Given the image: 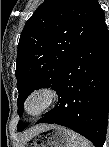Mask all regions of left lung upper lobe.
Masks as SVG:
<instances>
[{"label":"left lung upper lobe","mask_w":109,"mask_h":147,"mask_svg":"<svg viewBox=\"0 0 109 147\" xmlns=\"http://www.w3.org/2000/svg\"><path fill=\"white\" fill-rule=\"evenodd\" d=\"M105 17L97 0H46L27 20L18 43V113L35 89H56L74 51ZM27 123L20 122L17 129Z\"/></svg>","instance_id":"obj_1"}]
</instances>
